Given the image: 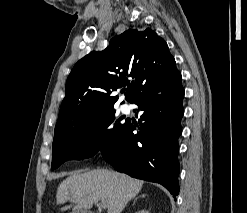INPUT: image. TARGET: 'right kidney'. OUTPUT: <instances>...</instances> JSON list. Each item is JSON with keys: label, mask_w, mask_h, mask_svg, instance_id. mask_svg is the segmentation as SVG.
<instances>
[{"label": "right kidney", "mask_w": 247, "mask_h": 213, "mask_svg": "<svg viewBox=\"0 0 247 213\" xmlns=\"http://www.w3.org/2000/svg\"><path fill=\"white\" fill-rule=\"evenodd\" d=\"M135 213H149V212L146 211V210H140V211H137V212H135Z\"/></svg>", "instance_id": "ca27d5eb"}]
</instances>
